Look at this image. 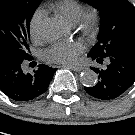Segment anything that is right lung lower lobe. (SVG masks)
<instances>
[{
  "instance_id": "right-lung-lower-lobe-1",
  "label": "right lung lower lobe",
  "mask_w": 135,
  "mask_h": 135,
  "mask_svg": "<svg viewBox=\"0 0 135 135\" xmlns=\"http://www.w3.org/2000/svg\"><path fill=\"white\" fill-rule=\"evenodd\" d=\"M30 55L19 54L0 47V90L14 101L27 102L46 92L56 71L46 65H38L33 73L24 71V63L31 61Z\"/></svg>"
}]
</instances>
